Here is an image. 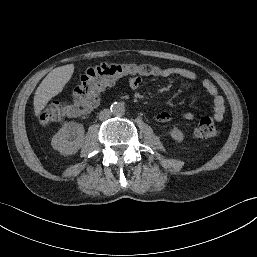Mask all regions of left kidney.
<instances>
[{
	"label": "left kidney",
	"instance_id": "5707ae66",
	"mask_svg": "<svg viewBox=\"0 0 257 257\" xmlns=\"http://www.w3.org/2000/svg\"><path fill=\"white\" fill-rule=\"evenodd\" d=\"M170 135L171 137L178 141L181 142L184 139V134L182 133L181 130H179L178 128H174L170 131Z\"/></svg>",
	"mask_w": 257,
	"mask_h": 257
}]
</instances>
